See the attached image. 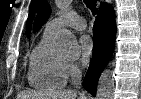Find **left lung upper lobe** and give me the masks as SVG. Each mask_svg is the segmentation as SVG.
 <instances>
[{
	"label": "left lung upper lobe",
	"mask_w": 141,
	"mask_h": 99,
	"mask_svg": "<svg viewBox=\"0 0 141 99\" xmlns=\"http://www.w3.org/2000/svg\"><path fill=\"white\" fill-rule=\"evenodd\" d=\"M37 3H38L37 0H32L31 5H30V12H29L28 20H27V33L28 34L30 32L31 22H32L33 16L35 14Z\"/></svg>",
	"instance_id": "obj_1"
}]
</instances>
